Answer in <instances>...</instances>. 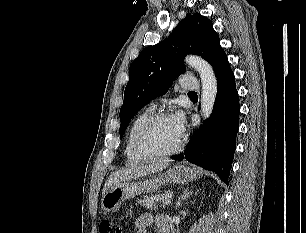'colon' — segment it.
I'll return each mask as SVG.
<instances>
[{
	"label": "colon",
	"instance_id": "obj_1",
	"mask_svg": "<svg viewBox=\"0 0 306 233\" xmlns=\"http://www.w3.org/2000/svg\"><path fill=\"white\" fill-rule=\"evenodd\" d=\"M100 233H122L120 227L111 221H103L99 227Z\"/></svg>",
	"mask_w": 306,
	"mask_h": 233
}]
</instances>
